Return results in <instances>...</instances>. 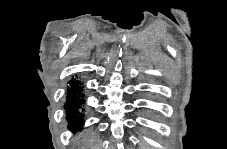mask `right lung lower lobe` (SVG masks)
I'll use <instances>...</instances> for the list:
<instances>
[{"label": "right lung lower lobe", "instance_id": "right-lung-lower-lobe-1", "mask_svg": "<svg viewBox=\"0 0 227 149\" xmlns=\"http://www.w3.org/2000/svg\"><path fill=\"white\" fill-rule=\"evenodd\" d=\"M69 84L70 88L67 91V100L64 109L66 110L68 128L72 132H76L77 130H81L83 125V87L79 81H72Z\"/></svg>", "mask_w": 227, "mask_h": 149}]
</instances>
